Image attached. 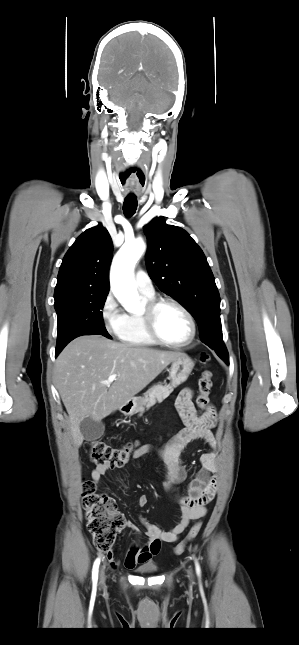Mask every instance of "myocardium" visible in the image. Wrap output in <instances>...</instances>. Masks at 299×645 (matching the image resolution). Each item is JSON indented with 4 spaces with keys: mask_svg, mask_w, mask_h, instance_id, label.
I'll return each instance as SVG.
<instances>
[{
    "mask_svg": "<svg viewBox=\"0 0 299 645\" xmlns=\"http://www.w3.org/2000/svg\"><path fill=\"white\" fill-rule=\"evenodd\" d=\"M164 305H172L181 310L184 315L187 317L190 324V334L187 339L181 342H172L164 339L158 332L157 329V314L161 307ZM141 315L145 329L149 336L158 344L168 346V347H184L190 344L196 336V322L189 311V309L184 306L181 302L173 298H155L147 301L141 310Z\"/></svg>",
    "mask_w": 299,
    "mask_h": 645,
    "instance_id": "1",
    "label": "myocardium"
}]
</instances>
